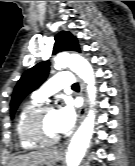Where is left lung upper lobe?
<instances>
[{
    "label": "left lung upper lobe",
    "mask_w": 135,
    "mask_h": 166,
    "mask_svg": "<svg viewBox=\"0 0 135 166\" xmlns=\"http://www.w3.org/2000/svg\"><path fill=\"white\" fill-rule=\"evenodd\" d=\"M67 50L80 52L77 39L70 32L62 31L55 36L53 54ZM49 65L48 61L41 62L22 75L12 95L10 104L12 118L23 98L45 81L49 73Z\"/></svg>",
    "instance_id": "5c2ea615"
}]
</instances>
